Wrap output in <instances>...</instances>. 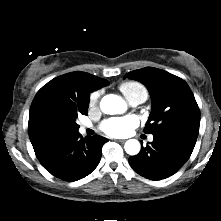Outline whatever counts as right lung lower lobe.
I'll return each instance as SVG.
<instances>
[{"label": "right lung lower lobe", "mask_w": 221, "mask_h": 221, "mask_svg": "<svg viewBox=\"0 0 221 221\" xmlns=\"http://www.w3.org/2000/svg\"><path fill=\"white\" fill-rule=\"evenodd\" d=\"M107 138L95 135L82 138L79 132L59 139L38 156L43 167L65 181H77L89 175L99 164Z\"/></svg>", "instance_id": "98d812e1"}]
</instances>
